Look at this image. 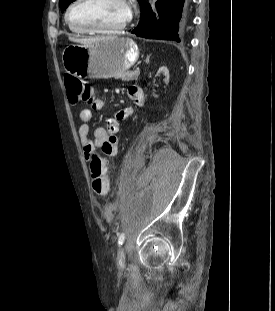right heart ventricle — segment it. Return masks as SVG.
Wrapping results in <instances>:
<instances>
[{"label":"right heart ventricle","mask_w":275,"mask_h":311,"mask_svg":"<svg viewBox=\"0 0 275 311\" xmlns=\"http://www.w3.org/2000/svg\"><path fill=\"white\" fill-rule=\"evenodd\" d=\"M69 29L72 31V32H74V33H78V34H81V33H83V32H81V31H78V30H74V29H71L70 27H69Z\"/></svg>","instance_id":"right-heart-ventricle-1"}]
</instances>
